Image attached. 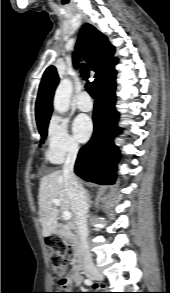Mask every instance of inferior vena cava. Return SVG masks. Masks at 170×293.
I'll return each instance as SVG.
<instances>
[{
    "label": "inferior vena cava",
    "instance_id": "602c4592",
    "mask_svg": "<svg viewBox=\"0 0 170 293\" xmlns=\"http://www.w3.org/2000/svg\"><path fill=\"white\" fill-rule=\"evenodd\" d=\"M78 151L79 148L77 145L74 144L70 146L65 164L63 166V176L72 201V210L75 215V221L81 243V251L83 254L84 269L88 271L94 268V264L87 244L88 200L84 188L74 174V164Z\"/></svg>",
    "mask_w": 170,
    "mask_h": 293
}]
</instances>
